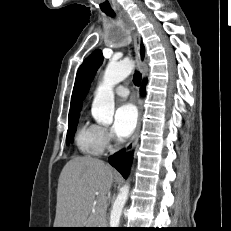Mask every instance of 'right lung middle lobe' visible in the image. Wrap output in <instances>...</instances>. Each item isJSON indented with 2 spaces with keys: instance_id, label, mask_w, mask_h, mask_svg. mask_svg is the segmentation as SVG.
Segmentation results:
<instances>
[{
  "instance_id": "right-lung-middle-lobe-1",
  "label": "right lung middle lobe",
  "mask_w": 231,
  "mask_h": 231,
  "mask_svg": "<svg viewBox=\"0 0 231 231\" xmlns=\"http://www.w3.org/2000/svg\"><path fill=\"white\" fill-rule=\"evenodd\" d=\"M79 115L68 118L67 144L73 142Z\"/></svg>"
}]
</instances>
